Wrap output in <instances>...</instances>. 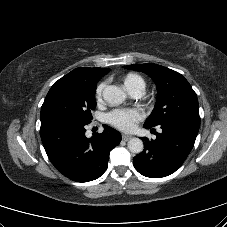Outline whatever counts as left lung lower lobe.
<instances>
[{
  "label": "left lung lower lobe",
  "mask_w": 227,
  "mask_h": 227,
  "mask_svg": "<svg viewBox=\"0 0 227 227\" xmlns=\"http://www.w3.org/2000/svg\"><path fill=\"white\" fill-rule=\"evenodd\" d=\"M160 126L162 133H157L155 140L142 138L144 150L133 158L135 169L146 177L168 176L183 164L194 146L200 122L173 120Z\"/></svg>",
  "instance_id": "0a47b994"
}]
</instances>
